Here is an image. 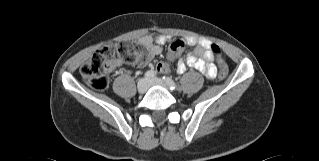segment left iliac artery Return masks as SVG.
<instances>
[{"instance_id":"left-iliac-artery-1","label":"left iliac artery","mask_w":319,"mask_h":161,"mask_svg":"<svg viewBox=\"0 0 319 161\" xmlns=\"http://www.w3.org/2000/svg\"><path fill=\"white\" fill-rule=\"evenodd\" d=\"M163 79L172 90L178 89L177 84L170 77L164 76Z\"/></svg>"}]
</instances>
